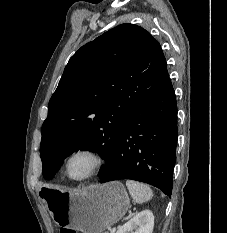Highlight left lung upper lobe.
<instances>
[{
	"label": "left lung upper lobe",
	"mask_w": 227,
	"mask_h": 233,
	"mask_svg": "<svg viewBox=\"0 0 227 233\" xmlns=\"http://www.w3.org/2000/svg\"><path fill=\"white\" fill-rule=\"evenodd\" d=\"M167 80L160 44L139 26L121 24L82 46L65 67L42 125L44 178L79 149L101 155L102 176L133 112Z\"/></svg>",
	"instance_id": "obj_1"
}]
</instances>
